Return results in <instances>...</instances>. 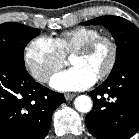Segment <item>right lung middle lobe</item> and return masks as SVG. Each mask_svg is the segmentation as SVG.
Here are the masks:
<instances>
[{
    "mask_svg": "<svg viewBox=\"0 0 139 139\" xmlns=\"http://www.w3.org/2000/svg\"><path fill=\"white\" fill-rule=\"evenodd\" d=\"M39 33V29L15 22L1 24L0 58H9L24 64V48Z\"/></svg>",
    "mask_w": 139,
    "mask_h": 139,
    "instance_id": "dd1d6c3e",
    "label": "right lung middle lobe"
}]
</instances>
